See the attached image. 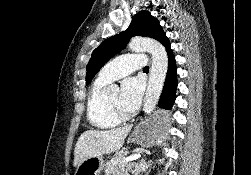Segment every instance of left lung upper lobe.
Instances as JSON below:
<instances>
[{
    "instance_id": "left-lung-upper-lobe-1",
    "label": "left lung upper lobe",
    "mask_w": 251,
    "mask_h": 175,
    "mask_svg": "<svg viewBox=\"0 0 251 175\" xmlns=\"http://www.w3.org/2000/svg\"><path fill=\"white\" fill-rule=\"evenodd\" d=\"M140 35L160 40L165 34L159 21L151 16L149 11L137 13L131 21L128 29L113 37L104 40L92 53L87 65L86 85L90 84L97 72L110 58L123 50L130 38Z\"/></svg>"
}]
</instances>
